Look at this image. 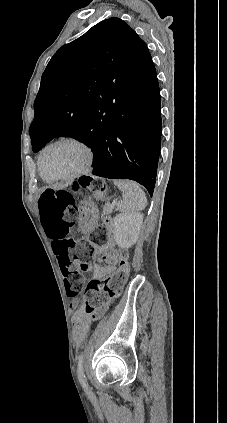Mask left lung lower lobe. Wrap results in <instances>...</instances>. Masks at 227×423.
Returning a JSON list of instances; mask_svg holds the SVG:
<instances>
[{
  "label": "left lung lower lobe",
  "instance_id": "0a47b994",
  "mask_svg": "<svg viewBox=\"0 0 227 423\" xmlns=\"http://www.w3.org/2000/svg\"><path fill=\"white\" fill-rule=\"evenodd\" d=\"M161 134L160 91L155 75L139 110L106 112L97 131L82 141L94 152V175L134 180L152 195Z\"/></svg>",
  "mask_w": 227,
  "mask_h": 423
}]
</instances>
